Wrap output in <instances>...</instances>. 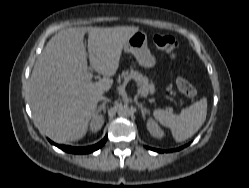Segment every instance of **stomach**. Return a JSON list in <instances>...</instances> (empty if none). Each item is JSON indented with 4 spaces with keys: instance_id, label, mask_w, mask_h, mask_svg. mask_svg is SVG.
Here are the masks:
<instances>
[{
    "instance_id": "1",
    "label": "stomach",
    "mask_w": 249,
    "mask_h": 188,
    "mask_svg": "<svg viewBox=\"0 0 249 188\" xmlns=\"http://www.w3.org/2000/svg\"><path fill=\"white\" fill-rule=\"evenodd\" d=\"M124 51L131 53L144 68H152L155 65V57L148 49L147 35L143 31H137L127 40ZM149 84L154 85L152 81Z\"/></svg>"
}]
</instances>
